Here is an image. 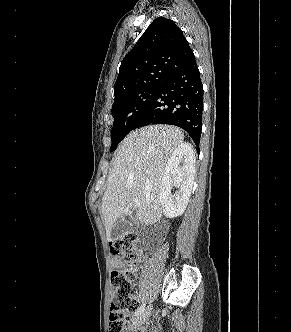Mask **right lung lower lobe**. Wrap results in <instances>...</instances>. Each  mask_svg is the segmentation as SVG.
Listing matches in <instances>:
<instances>
[{"instance_id": "obj_1", "label": "right lung lower lobe", "mask_w": 291, "mask_h": 332, "mask_svg": "<svg viewBox=\"0 0 291 332\" xmlns=\"http://www.w3.org/2000/svg\"><path fill=\"white\" fill-rule=\"evenodd\" d=\"M202 112L203 86L194 59L162 81L134 129L149 124L175 125L186 130L199 147Z\"/></svg>"}]
</instances>
